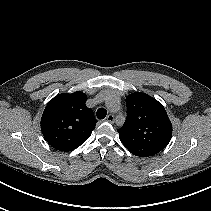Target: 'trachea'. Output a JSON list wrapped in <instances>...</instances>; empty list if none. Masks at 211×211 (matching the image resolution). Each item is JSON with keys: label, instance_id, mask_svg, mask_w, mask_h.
<instances>
[{"label": "trachea", "instance_id": "trachea-1", "mask_svg": "<svg viewBox=\"0 0 211 211\" xmlns=\"http://www.w3.org/2000/svg\"><path fill=\"white\" fill-rule=\"evenodd\" d=\"M96 114H97V118L98 119H104L106 117V115H107V111L104 108H99L97 110Z\"/></svg>", "mask_w": 211, "mask_h": 211}]
</instances>
